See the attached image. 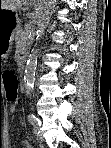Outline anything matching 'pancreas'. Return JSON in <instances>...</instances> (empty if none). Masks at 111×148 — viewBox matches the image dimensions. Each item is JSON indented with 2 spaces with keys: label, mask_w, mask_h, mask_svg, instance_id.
I'll list each match as a JSON object with an SVG mask.
<instances>
[{
  "label": "pancreas",
  "mask_w": 111,
  "mask_h": 148,
  "mask_svg": "<svg viewBox=\"0 0 111 148\" xmlns=\"http://www.w3.org/2000/svg\"><path fill=\"white\" fill-rule=\"evenodd\" d=\"M28 32L27 31H21V30H18L16 32V39L17 40H21V44H23V42H28Z\"/></svg>",
  "instance_id": "cf45deb5"
}]
</instances>
